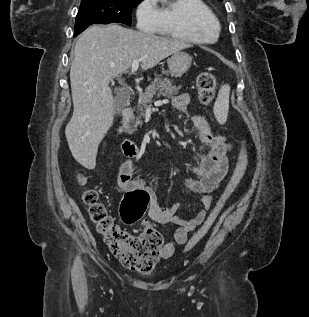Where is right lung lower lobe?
I'll return each mask as SVG.
<instances>
[{
    "mask_svg": "<svg viewBox=\"0 0 309 317\" xmlns=\"http://www.w3.org/2000/svg\"><path fill=\"white\" fill-rule=\"evenodd\" d=\"M89 26V25H88ZM88 26H85L83 28H80L78 30H75L74 32V36H77L78 34H80L81 32H83Z\"/></svg>",
    "mask_w": 309,
    "mask_h": 317,
    "instance_id": "98d812e1",
    "label": "right lung lower lobe"
}]
</instances>
